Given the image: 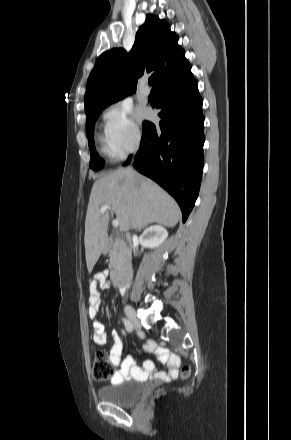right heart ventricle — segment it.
Returning a JSON list of instances; mask_svg holds the SVG:
<instances>
[{
	"label": "right heart ventricle",
	"mask_w": 291,
	"mask_h": 440,
	"mask_svg": "<svg viewBox=\"0 0 291 440\" xmlns=\"http://www.w3.org/2000/svg\"><path fill=\"white\" fill-rule=\"evenodd\" d=\"M99 152L102 156L111 157L113 156L106 142L105 137L98 138Z\"/></svg>",
	"instance_id": "right-heart-ventricle-1"
}]
</instances>
